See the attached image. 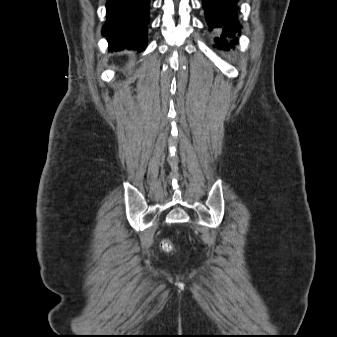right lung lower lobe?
I'll return each instance as SVG.
<instances>
[{
    "mask_svg": "<svg viewBox=\"0 0 337 337\" xmlns=\"http://www.w3.org/2000/svg\"><path fill=\"white\" fill-rule=\"evenodd\" d=\"M107 21L102 34L109 51H143L147 46L150 0H108Z\"/></svg>",
    "mask_w": 337,
    "mask_h": 337,
    "instance_id": "98d812e1",
    "label": "right lung lower lobe"
}]
</instances>
